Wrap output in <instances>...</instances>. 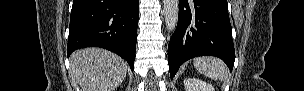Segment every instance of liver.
<instances>
[{"label": "liver", "instance_id": "6515ba94", "mask_svg": "<svg viewBox=\"0 0 304 91\" xmlns=\"http://www.w3.org/2000/svg\"><path fill=\"white\" fill-rule=\"evenodd\" d=\"M127 70L125 60L100 48L77 50L70 57L71 75L83 91H114Z\"/></svg>", "mask_w": 304, "mask_h": 91}]
</instances>
